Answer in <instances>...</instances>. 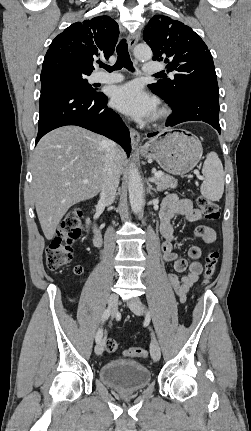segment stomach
<instances>
[{
    "label": "stomach",
    "mask_w": 251,
    "mask_h": 431,
    "mask_svg": "<svg viewBox=\"0 0 251 431\" xmlns=\"http://www.w3.org/2000/svg\"><path fill=\"white\" fill-rule=\"evenodd\" d=\"M143 157L154 159L172 175H184L201 159L200 140L183 129H168L150 139L140 150Z\"/></svg>",
    "instance_id": "1"
}]
</instances>
